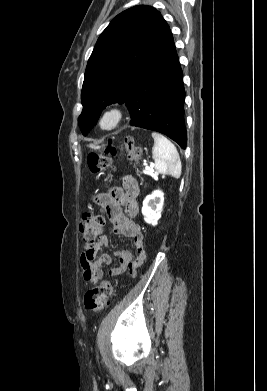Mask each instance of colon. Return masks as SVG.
Wrapping results in <instances>:
<instances>
[{"instance_id": "5ec220e1", "label": "colon", "mask_w": 267, "mask_h": 391, "mask_svg": "<svg viewBox=\"0 0 267 391\" xmlns=\"http://www.w3.org/2000/svg\"><path fill=\"white\" fill-rule=\"evenodd\" d=\"M128 158L132 161L139 160L141 150L134 143L132 137H126L124 142ZM116 149L112 142L105 146L103 153H90L87 156V164L92 173H101L111 169V156L115 155ZM105 225V219L99 214L85 212L80 222L83 246L85 250L92 248ZM113 286L109 281H102L97 286L86 292L84 296L85 308L93 312H101L111 301Z\"/></svg>"}]
</instances>
